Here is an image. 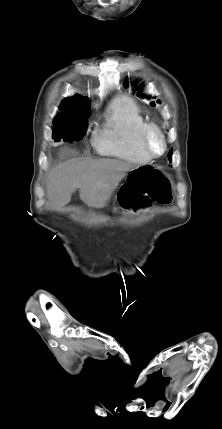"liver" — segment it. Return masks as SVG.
<instances>
[{"instance_id":"1","label":"liver","mask_w":222,"mask_h":429,"mask_svg":"<svg viewBox=\"0 0 222 429\" xmlns=\"http://www.w3.org/2000/svg\"><path fill=\"white\" fill-rule=\"evenodd\" d=\"M135 166L116 159H72L56 165L48 173L46 194L51 207L61 209L80 189V199L89 207L102 208L126 172Z\"/></svg>"}]
</instances>
